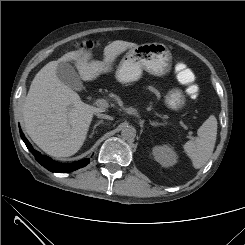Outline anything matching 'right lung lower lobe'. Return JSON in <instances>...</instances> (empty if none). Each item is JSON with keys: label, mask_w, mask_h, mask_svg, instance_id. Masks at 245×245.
I'll return each mask as SVG.
<instances>
[{"label": "right lung lower lobe", "mask_w": 245, "mask_h": 245, "mask_svg": "<svg viewBox=\"0 0 245 245\" xmlns=\"http://www.w3.org/2000/svg\"><path fill=\"white\" fill-rule=\"evenodd\" d=\"M20 136L24 143L26 144L27 148L32 152V154L35 156V159L46 169H48L51 172H56V173H66V172H71L74 170H77L79 168H82L86 166L90 160L88 158L73 162V163H67V164H62L58 163L56 161H53L51 158L42 155L38 151L34 150L29 141L26 139L24 136L22 130L20 129Z\"/></svg>", "instance_id": "obj_1"}]
</instances>
